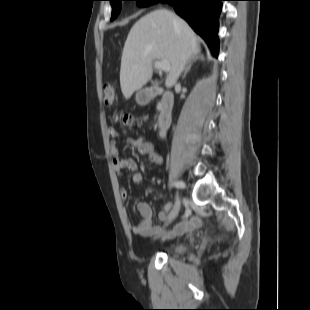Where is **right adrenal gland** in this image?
<instances>
[{"instance_id":"1","label":"right adrenal gland","mask_w":310,"mask_h":310,"mask_svg":"<svg viewBox=\"0 0 310 310\" xmlns=\"http://www.w3.org/2000/svg\"><path fill=\"white\" fill-rule=\"evenodd\" d=\"M197 60H204V57H203V55H202L200 52H197V53L195 54V56L192 57V58L190 59V61L188 62V65H187V67H186V69H185V71H184V73H183V76H182L183 79L186 77L187 73H188L189 70L191 69V66H192L193 62H195V61H197Z\"/></svg>"}]
</instances>
